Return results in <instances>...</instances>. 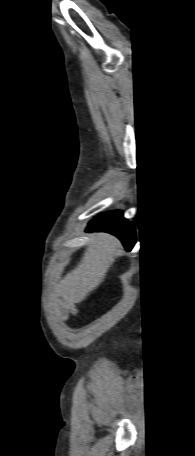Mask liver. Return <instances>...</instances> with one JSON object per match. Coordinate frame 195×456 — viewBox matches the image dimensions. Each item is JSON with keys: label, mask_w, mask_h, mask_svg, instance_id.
Returning a JSON list of instances; mask_svg holds the SVG:
<instances>
[{"label": "liver", "mask_w": 195, "mask_h": 456, "mask_svg": "<svg viewBox=\"0 0 195 456\" xmlns=\"http://www.w3.org/2000/svg\"><path fill=\"white\" fill-rule=\"evenodd\" d=\"M119 246V241L109 234H92L77 267L59 281L58 293L71 303L85 300L104 281Z\"/></svg>", "instance_id": "1"}]
</instances>
